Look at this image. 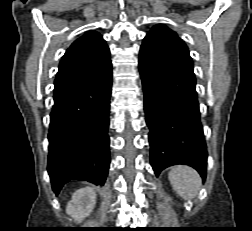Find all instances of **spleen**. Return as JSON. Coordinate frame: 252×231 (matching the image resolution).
<instances>
[{"mask_svg": "<svg viewBox=\"0 0 252 231\" xmlns=\"http://www.w3.org/2000/svg\"><path fill=\"white\" fill-rule=\"evenodd\" d=\"M168 178L174 191L184 200L195 198L202 185L198 172L185 165L172 167L168 173Z\"/></svg>", "mask_w": 252, "mask_h": 231, "instance_id": "obj_1", "label": "spleen"}]
</instances>
